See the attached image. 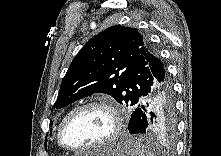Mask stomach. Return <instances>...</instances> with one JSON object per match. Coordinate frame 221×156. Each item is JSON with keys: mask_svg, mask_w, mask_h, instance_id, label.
Segmentation results:
<instances>
[{"mask_svg": "<svg viewBox=\"0 0 221 156\" xmlns=\"http://www.w3.org/2000/svg\"><path fill=\"white\" fill-rule=\"evenodd\" d=\"M90 156H132V150L128 140H119L94 150Z\"/></svg>", "mask_w": 221, "mask_h": 156, "instance_id": "stomach-1", "label": "stomach"}]
</instances>
